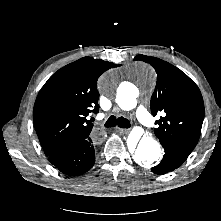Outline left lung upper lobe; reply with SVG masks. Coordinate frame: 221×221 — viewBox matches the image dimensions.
<instances>
[{
    "mask_svg": "<svg viewBox=\"0 0 221 221\" xmlns=\"http://www.w3.org/2000/svg\"><path fill=\"white\" fill-rule=\"evenodd\" d=\"M152 65L157 73V84L151 97L150 108L156 121L155 135L161 144L167 143L192 151L201 134L204 103L197 85L180 69L159 58L138 55Z\"/></svg>",
    "mask_w": 221,
    "mask_h": 221,
    "instance_id": "obj_1",
    "label": "left lung upper lobe"
}]
</instances>
